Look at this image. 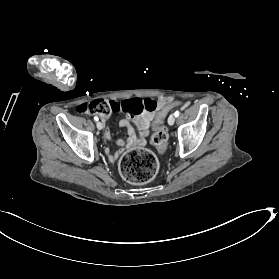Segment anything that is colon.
<instances>
[{"instance_id": "obj_1", "label": "colon", "mask_w": 279, "mask_h": 279, "mask_svg": "<svg viewBox=\"0 0 279 279\" xmlns=\"http://www.w3.org/2000/svg\"><path fill=\"white\" fill-rule=\"evenodd\" d=\"M177 104L167 99L163 100L162 106L159 102L151 98H135L121 102L96 99L89 104H82L77 108L78 112H89L101 117H107L112 112H124L132 116H139L147 112H158L153 122L154 133L151 137L152 144L158 152H165L168 144V131L164 126V121L168 113ZM158 171L156 156L149 150L133 149L126 152L120 160V173L125 180L133 184H144L151 181Z\"/></svg>"}]
</instances>
